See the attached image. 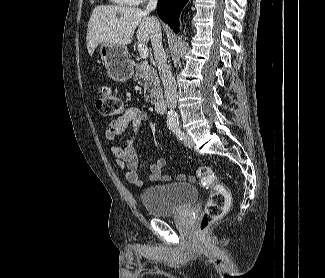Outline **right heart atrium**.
<instances>
[{
    "label": "right heart atrium",
    "instance_id": "d8ad5b80",
    "mask_svg": "<svg viewBox=\"0 0 325 278\" xmlns=\"http://www.w3.org/2000/svg\"><path fill=\"white\" fill-rule=\"evenodd\" d=\"M131 1H132L133 4L138 5V4L144 3L146 0H131Z\"/></svg>",
    "mask_w": 325,
    "mask_h": 278
}]
</instances>
